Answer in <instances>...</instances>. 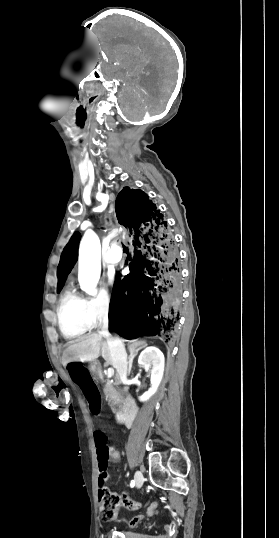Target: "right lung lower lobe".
I'll list each match as a JSON object with an SVG mask.
<instances>
[{
  "mask_svg": "<svg viewBox=\"0 0 279 538\" xmlns=\"http://www.w3.org/2000/svg\"><path fill=\"white\" fill-rule=\"evenodd\" d=\"M115 210L136 250L130 274L121 280L117 273L109 324L128 337L170 333L183 303L180 256L173 234L142 190L124 187Z\"/></svg>",
  "mask_w": 279,
  "mask_h": 538,
  "instance_id": "98d812e1",
  "label": "right lung lower lobe"
}]
</instances>
